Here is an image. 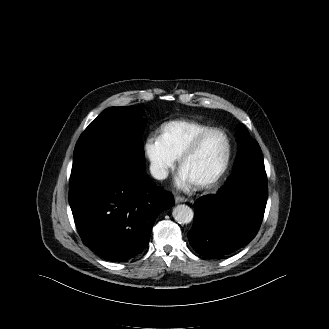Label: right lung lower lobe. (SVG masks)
<instances>
[{
	"label": "right lung lower lobe",
	"instance_id": "right-lung-lower-lobe-1",
	"mask_svg": "<svg viewBox=\"0 0 329 329\" xmlns=\"http://www.w3.org/2000/svg\"><path fill=\"white\" fill-rule=\"evenodd\" d=\"M69 203L82 241L108 261H125L149 243L157 216L173 206L171 193L145 171L111 166L88 168L70 177Z\"/></svg>",
	"mask_w": 329,
	"mask_h": 329
}]
</instances>
